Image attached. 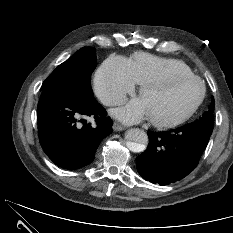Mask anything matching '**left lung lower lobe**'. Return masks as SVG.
I'll list each match as a JSON object with an SVG mask.
<instances>
[{
	"instance_id": "0a47b994",
	"label": "left lung lower lobe",
	"mask_w": 233,
	"mask_h": 233,
	"mask_svg": "<svg viewBox=\"0 0 233 233\" xmlns=\"http://www.w3.org/2000/svg\"><path fill=\"white\" fill-rule=\"evenodd\" d=\"M212 130L191 123L170 131L149 132L148 147L136 158L138 173L161 185L184 178L197 166Z\"/></svg>"
}]
</instances>
